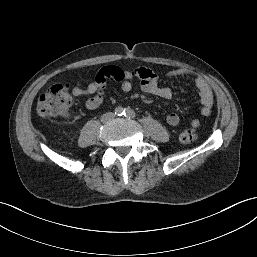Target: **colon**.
Returning <instances> with one entry per match:
<instances>
[{"instance_id": "1", "label": "colon", "mask_w": 257, "mask_h": 257, "mask_svg": "<svg viewBox=\"0 0 257 257\" xmlns=\"http://www.w3.org/2000/svg\"><path fill=\"white\" fill-rule=\"evenodd\" d=\"M97 82L104 86L106 77L103 74L97 76ZM73 102V91L68 83L54 84L40 96L37 103V113L44 118L66 115ZM178 139L182 144H190L196 139V130L185 128L180 131Z\"/></svg>"}]
</instances>
